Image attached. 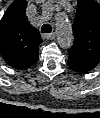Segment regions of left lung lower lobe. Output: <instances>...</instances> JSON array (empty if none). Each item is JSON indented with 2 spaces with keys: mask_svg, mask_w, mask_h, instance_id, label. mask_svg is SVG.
I'll return each instance as SVG.
<instances>
[{
  "mask_svg": "<svg viewBox=\"0 0 100 118\" xmlns=\"http://www.w3.org/2000/svg\"><path fill=\"white\" fill-rule=\"evenodd\" d=\"M73 70L77 71V69H73ZM77 72H80V71H77ZM80 73H81V72H80Z\"/></svg>",
  "mask_w": 100,
  "mask_h": 118,
  "instance_id": "1",
  "label": "left lung lower lobe"
}]
</instances>
